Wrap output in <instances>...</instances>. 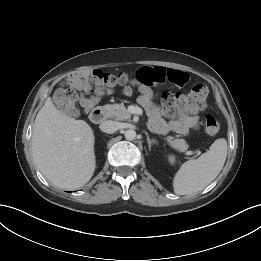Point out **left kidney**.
<instances>
[{
    "label": "left kidney",
    "mask_w": 261,
    "mask_h": 261,
    "mask_svg": "<svg viewBox=\"0 0 261 261\" xmlns=\"http://www.w3.org/2000/svg\"><path fill=\"white\" fill-rule=\"evenodd\" d=\"M168 159H169V162H170L171 164H174V163H175V157H174L173 155H170V156L168 157Z\"/></svg>",
    "instance_id": "left-kidney-1"
}]
</instances>
